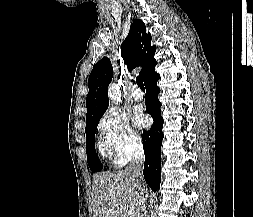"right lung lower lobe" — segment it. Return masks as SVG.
<instances>
[{
    "mask_svg": "<svg viewBox=\"0 0 253 217\" xmlns=\"http://www.w3.org/2000/svg\"><path fill=\"white\" fill-rule=\"evenodd\" d=\"M159 77V74L155 72L149 75L144 81L146 87V111L153 117L154 123L150 130H144L142 135L145 154L143 174L145 181L153 191L159 189L161 181L160 155L163 139L162 125L164 121L160 112L161 103L158 100L160 88L156 84Z\"/></svg>",
    "mask_w": 253,
    "mask_h": 217,
    "instance_id": "right-lung-lower-lobe-1",
    "label": "right lung lower lobe"
}]
</instances>
